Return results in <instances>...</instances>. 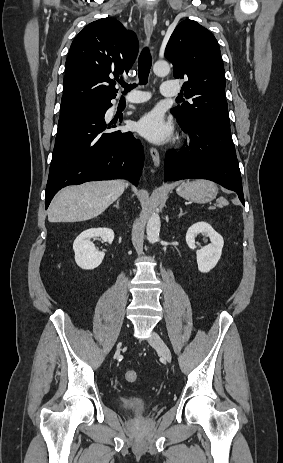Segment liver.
Segmentation results:
<instances>
[{
	"label": "liver",
	"mask_w": 283,
	"mask_h": 463,
	"mask_svg": "<svg viewBox=\"0 0 283 463\" xmlns=\"http://www.w3.org/2000/svg\"><path fill=\"white\" fill-rule=\"evenodd\" d=\"M125 180L94 181L62 189L52 201L48 220L81 222L103 213L124 192Z\"/></svg>",
	"instance_id": "6515ba94"
}]
</instances>
